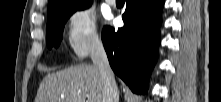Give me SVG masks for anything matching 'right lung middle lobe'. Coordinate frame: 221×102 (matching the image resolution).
I'll use <instances>...</instances> for the list:
<instances>
[{
  "instance_id": "obj_1",
  "label": "right lung middle lobe",
  "mask_w": 221,
  "mask_h": 102,
  "mask_svg": "<svg viewBox=\"0 0 221 102\" xmlns=\"http://www.w3.org/2000/svg\"><path fill=\"white\" fill-rule=\"evenodd\" d=\"M91 4L92 2L79 7H73L59 11L50 19H48L46 38L48 48L51 49L53 46H59L63 36L64 25L70 16L77 10H83L90 7Z\"/></svg>"
}]
</instances>
